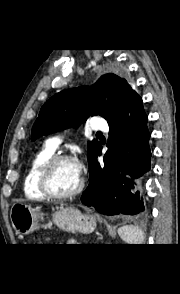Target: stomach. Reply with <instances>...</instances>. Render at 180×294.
<instances>
[{
	"instance_id": "stomach-1",
	"label": "stomach",
	"mask_w": 180,
	"mask_h": 294,
	"mask_svg": "<svg viewBox=\"0 0 180 294\" xmlns=\"http://www.w3.org/2000/svg\"><path fill=\"white\" fill-rule=\"evenodd\" d=\"M13 227L22 235L39 231L43 227V214L38 207L26 203H15L10 213ZM53 222L62 230L90 233L96 227L92 215L84 214L75 207H61L53 214Z\"/></svg>"
}]
</instances>
